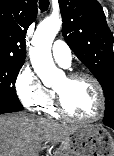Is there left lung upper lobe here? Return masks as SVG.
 Here are the masks:
<instances>
[{
    "instance_id": "1",
    "label": "left lung upper lobe",
    "mask_w": 114,
    "mask_h": 156,
    "mask_svg": "<svg viewBox=\"0 0 114 156\" xmlns=\"http://www.w3.org/2000/svg\"><path fill=\"white\" fill-rule=\"evenodd\" d=\"M62 33L75 55L93 73L105 95V125H114L113 34L96 0H59Z\"/></svg>"
}]
</instances>
